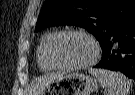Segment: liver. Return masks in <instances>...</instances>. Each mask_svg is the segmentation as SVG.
I'll list each match as a JSON object with an SVG mask.
<instances>
[{"label":"liver","instance_id":"liver-1","mask_svg":"<svg viewBox=\"0 0 135 95\" xmlns=\"http://www.w3.org/2000/svg\"><path fill=\"white\" fill-rule=\"evenodd\" d=\"M62 76V74H47L44 75L42 78H39L34 82L31 86V95H37L43 90L50 82L55 79H58ZM33 93V94H32Z\"/></svg>","mask_w":135,"mask_h":95}]
</instances>
